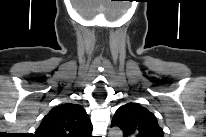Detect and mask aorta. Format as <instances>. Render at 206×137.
<instances>
[{
	"label": "aorta",
	"mask_w": 206,
	"mask_h": 137,
	"mask_svg": "<svg viewBox=\"0 0 206 137\" xmlns=\"http://www.w3.org/2000/svg\"><path fill=\"white\" fill-rule=\"evenodd\" d=\"M109 136L110 137H121L122 136V131L117 129V128H114L109 132Z\"/></svg>",
	"instance_id": "1"
}]
</instances>
